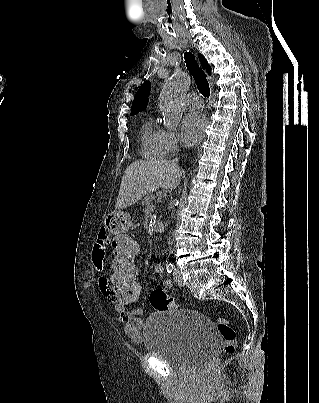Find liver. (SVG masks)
I'll return each mask as SVG.
<instances>
[{"mask_svg": "<svg viewBox=\"0 0 319 403\" xmlns=\"http://www.w3.org/2000/svg\"><path fill=\"white\" fill-rule=\"evenodd\" d=\"M182 171L167 160L143 161L130 164L125 170L115 208H126L158 188L174 189Z\"/></svg>", "mask_w": 319, "mask_h": 403, "instance_id": "liver-1", "label": "liver"}]
</instances>
